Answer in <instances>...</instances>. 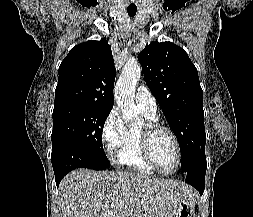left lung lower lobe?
Returning a JSON list of instances; mask_svg holds the SVG:
<instances>
[{"label":"left lung lower lobe","mask_w":253,"mask_h":217,"mask_svg":"<svg viewBox=\"0 0 253 217\" xmlns=\"http://www.w3.org/2000/svg\"><path fill=\"white\" fill-rule=\"evenodd\" d=\"M206 173V159L198 165L184 173L185 182L194 186L202 195L204 192V182Z\"/></svg>","instance_id":"obj_1"}]
</instances>
